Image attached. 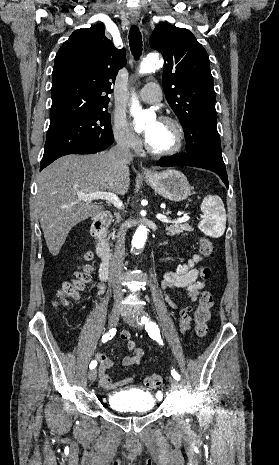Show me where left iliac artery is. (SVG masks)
<instances>
[{
  "mask_svg": "<svg viewBox=\"0 0 279 465\" xmlns=\"http://www.w3.org/2000/svg\"><path fill=\"white\" fill-rule=\"evenodd\" d=\"M141 321L145 324V329L149 336L156 340L159 344L163 345L158 325L151 321L147 316H142ZM171 374L176 380H180V375L175 370H172Z\"/></svg>",
  "mask_w": 279,
  "mask_h": 465,
  "instance_id": "44dca946",
  "label": "left iliac artery"
}]
</instances>
